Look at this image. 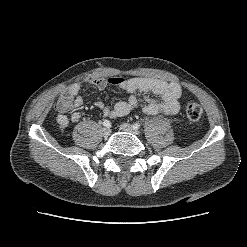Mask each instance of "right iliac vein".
Here are the masks:
<instances>
[{"mask_svg":"<svg viewBox=\"0 0 247 247\" xmlns=\"http://www.w3.org/2000/svg\"><path fill=\"white\" fill-rule=\"evenodd\" d=\"M110 133H111V130H110L109 127H104L102 129V134H103L104 137H108L110 135Z\"/></svg>","mask_w":247,"mask_h":247,"instance_id":"1","label":"right iliac vein"}]
</instances>
